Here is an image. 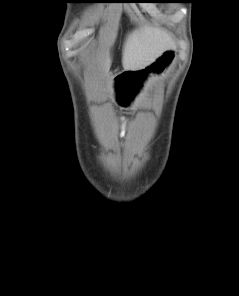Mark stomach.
<instances>
[{
	"label": "stomach",
	"instance_id": "1",
	"mask_svg": "<svg viewBox=\"0 0 239 296\" xmlns=\"http://www.w3.org/2000/svg\"><path fill=\"white\" fill-rule=\"evenodd\" d=\"M176 55V49L170 47L163 51L157 58L141 69H121L117 75V84H140V79H145L146 75H159L164 73L169 65L173 62ZM134 74H131V73ZM142 85H109L106 94H110V98H116V104L122 105V108H131L128 98H135V90H142Z\"/></svg>",
	"mask_w": 239,
	"mask_h": 296
}]
</instances>
